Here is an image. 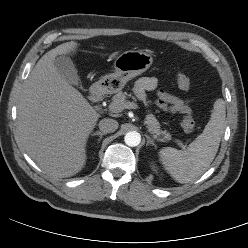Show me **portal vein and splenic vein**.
Here are the masks:
<instances>
[{"label": "portal vein and splenic vein", "mask_w": 248, "mask_h": 248, "mask_svg": "<svg viewBox=\"0 0 248 248\" xmlns=\"http://www.w3.org/2000/svg\"><path fill=\"white\" fill-rule=\"evenodd\" d=\"M124 108H127V109H137L138 108V105L134 102H126L123 106V108H120L118 106H116L115 104H111L109 106V109L113 112H120L121 110H123ZM180 145H182L181 143H179Z\"/></svg>", "instance_id": "portal-vein-and-splenic-vein-1"}]
</instances>
